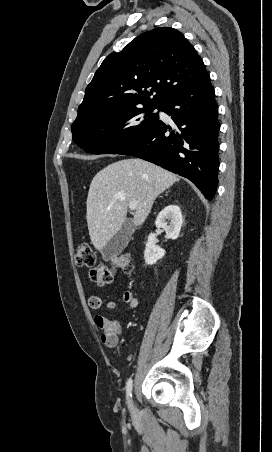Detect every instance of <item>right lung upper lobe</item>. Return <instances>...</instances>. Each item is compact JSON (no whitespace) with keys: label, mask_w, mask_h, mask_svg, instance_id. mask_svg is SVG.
<instances>
[{"label":"right lung upper lobe","mask_w":272,"mask_h":452,"mask_svg":"<svg viewBox=\"0 0 272 452\" xmlns=\"http://www.w3.org/2000/svg\"><path fill=\"white\" fill-rule=\"evenodd\" d=\"M208 78L202 59L181 32L156 28L105 58L85 90L76 120L139 105L162 106Z\"/></svg>","instance_id":"right-lung-upper-lobe-1"}]
</instances>
